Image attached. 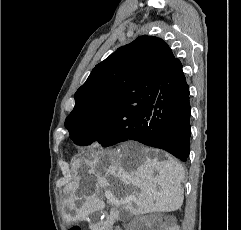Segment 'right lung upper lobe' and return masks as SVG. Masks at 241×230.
Listing matches in <instances>:
<instances>
[{
	"mask_svg": "<svg viewBox=\"0 0 241 230\" xmlns=\"http://www.w3.org/2000/svg\"><path fill=\"white\" fill-rule=\"evenodd\" d=\"M175 60L169 46L153 36H140L118 48L95 66L75 93V107L66 118V128L106 119L116 108H133L154 100Z\"/></svg>",
	"mask_w": 241,
	"mask_h": 230,
	"instance_id": "1",
	"label": "right lung upper lobe"
}]
</instances>
